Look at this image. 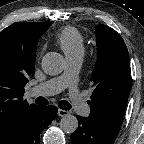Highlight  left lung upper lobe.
<instances>
[{
	"instance_id": "left-lung-upper-lobe-1",
	"label": "left lung upper lobe",
	"mask_w": 144,
	"mask_h": 144,
	"mask_svg": "<svg viewBox=\"0 0 144 144\" xmlns=\"http://www.w3.org/2000/svg\"><path fill=\"white\" fill-rule=\"evenodd\" d=\"M95 34L98 58L91 77L94 91L88 118L119 132L131 89L129 54L122 37L112 28L98 25Z\"/></svg>"
}]
</instances>
